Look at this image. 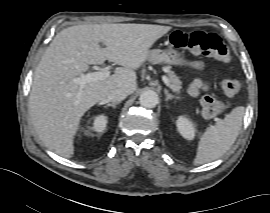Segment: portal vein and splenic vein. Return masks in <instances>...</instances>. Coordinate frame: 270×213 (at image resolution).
Segmentation results:
<instances>
[{
  "mask_svg": "<svg viewBox=\"0 0 270 213\" xmlns=\"http://www.w3.org/2000/svg\"><path fill=\"white\" fill-rule=\"evenodd\" d=\"M109 75L110 72L107 69H104L98 72L82 74L81 76L73 78L71 81L78 84L80 86V89H82L87 83L104 80L108 78ZM162 80L167 87H170L169 79L166 76L163 75Z\"/></svg>",
  "mask_w": 270,
  "mask_h": 213,
  "instance_id": "portal-vein-and-splenic-vein-1",
  "label": "portal vein and splenic vein"
}]
</instances>
